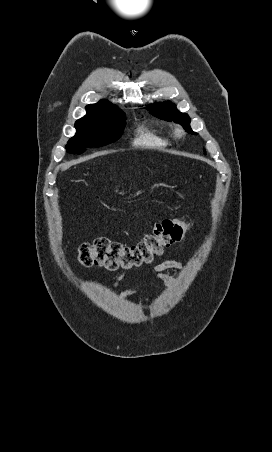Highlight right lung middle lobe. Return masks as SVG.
<instances>
[{"label": "right lung middle lobe", "instance_id": "dd1d6c3e", "mask_svg": "<svg viewBox=\"0 0 272 452\" xmlns=\"http://www.w3.org/2000/svg\"><path fill=\"white\" fill-rule=\"evenodd\" d=\"M125 126V116L114 108L99 116L76 122V135L67 145L66 152L81 154L86 147H101L120 138Z\"/></svg>", "mask_w": 272, "mask_h": 452}]
</instances>
